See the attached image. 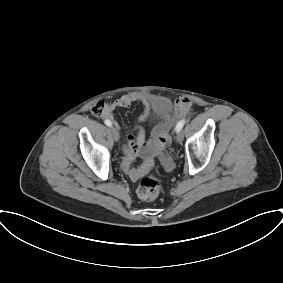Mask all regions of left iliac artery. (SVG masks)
Wrapping results in <instances>:
<instances>
[{
    "instance_id": "1",
    "label": "left iliac artery",
    "mask_w": 283,
    "mask_h": 283,
    "mask_svg": "<svg viewBox=\"0 0 283 283\" xmlns=\"http://www.w3.org/2000/svg\"><path fill=\"white\" fill-rule=\"evenodd\" d=\"M185 123H186L185 119L180 120L176 125V128H175L176 132H179L183 128Z\"/></svg>"
}]
</instances>
